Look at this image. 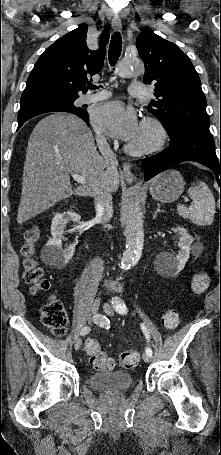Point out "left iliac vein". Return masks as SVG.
Instances as JSON below:
<instances>
[{
    "instance_id": "left-iliac-vein-1",
    "label": "left iliac vein",
    "mask_w": 221,
    "mask_h": 455,
    "mask_svg": "<svg viewBox=\"0 0 221 455\" xmlns=\"http://www.w3.org/2000/svg\"><path fill=\"white\" fill-rule=\"evenodd\" d=\"M103 310L105 311L106 314H108L109 316H112L114 314V311L112 309V307L108 304V303H105L103 305ZM143 360L147 363L151 362V356L148 355L147 353H144L143 354Z\"/></svg>"
}]
</instances>
